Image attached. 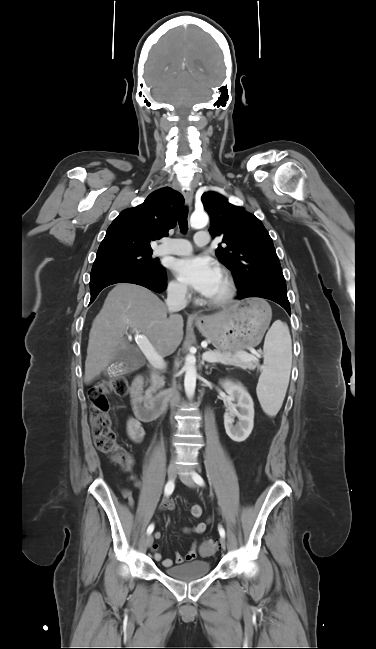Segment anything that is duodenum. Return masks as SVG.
I'll list each match as a JSON object with an SVG mask.
<instances>
[{"instance_id": "duodenum-1", "label": "duodenum", "mask_w": 376, "mask_h": 649, "mask_svg": "<svg viewBox=\"0 0 376 649\" xmlns=\"http://www.w3.org/2000/svg\"><path fill=\"white\" fill-rule=\"evenodd\" d=\"M144 378L137 375L131 384L129 394L134 415L142 421H150L159 416L171 399L170 393H161L150 399L143 395Z\"/></svg>"}]
</instances>
